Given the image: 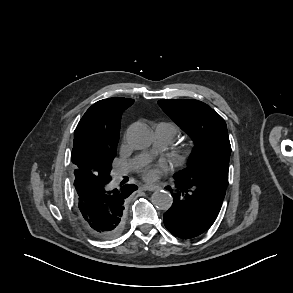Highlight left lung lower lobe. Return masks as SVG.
<instances>
[{"mask_svg":"<svg viewBox=\"0 0 293 293\" xmlns=\"http://www.w3.org/2000/svg\"><path fill=\"white\" fill-rule=\"evenodd\" d=\"M170 192L174 200L164 214V224L175 236L190 239L212 226L220 212L226 190L175 179V188Z\"/></svg>","mask_w":293,"mask_h":293,"instance_id":"obj_1","label":"left lung lower lobe"}]
</instances>
